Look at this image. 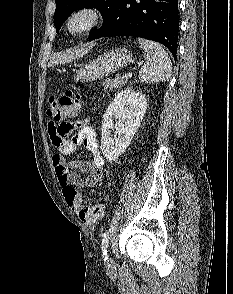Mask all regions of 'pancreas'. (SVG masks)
Returning a JSON list of instances; mask_svg holds the SVG:
<instances>
[{
  "mask_svg": "<svg viewBox=\"0 0 233 294\" xmlns=\"http://www.w3.org/2000/svg\"><path fill=\"white\" fill-rule=\"evenodd\" d=\"M126 84V81L116 78V79H107L102 86L104 87L105 91H111L116 88H121L123 85Z\"/></svg>",
  "mask_w": 233,
  "mask_h": 294,
  "instance_id": "obj_1",
  "label": "pancreas"
}]
</instances>
